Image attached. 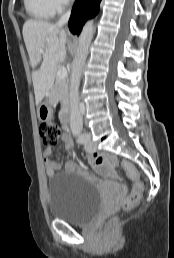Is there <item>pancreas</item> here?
<instances>
[{
  "label": "pancreas",
  "mask_w": 174,
  "mask_h": 258,
  "mask_svg": "<svg viewBox=\"0 0 174 258\" xmlns=\"http://www.w3.org/2000/svg\"><path fill=\"white\" fill-rule=\"evenodd\" d=\"M59 69V68H58ZM52 97L51 102L57 104L58 102L61 105H65L68 101V85L65 79H60L57 74L55 76V82L51 89Z\"/></svg>",
  "instance_id": "pancreas-1"
}]
</instances>
